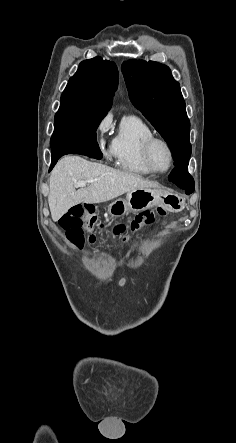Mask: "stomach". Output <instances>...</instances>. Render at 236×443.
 <instances>
[{
    "instance_id": "obj_1",
    "label": "stomach",
    "mask_w": 236,
    "mask_h": 443,
    "mask_svg": "<svg viewBox=\"0 0 236 443\" xmlns=\"http://www.w3.org/2000/svg\"><path fill=\"white\" fill-rule=\"evenodd\" d=\"M157 205L171 212L184 208V202L178 195L161 188H144L130 191L125 198L112 202L108 206V213L112 217H122L129 212H139Z\"/></svg>"
}]
</instances>
